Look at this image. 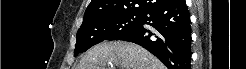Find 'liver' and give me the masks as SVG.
I'll return each mask as SVG.
<instances>
[{
  "mask_svg": "<svg viewBox=\"0 0 246 69\" xmlns=\"http://www.w3.org/2000/svg\"><path fill=\"white\" fill-rule=\"evenodd\" d=\"M165 69L146 49L126 42H103L89 49L77 69Z\"/></svg>",
  "mask_w": 246,
  "mask_h": 69,
  "instance_id": "6515ba94",
  "label": "liver"
}]
</instances>
